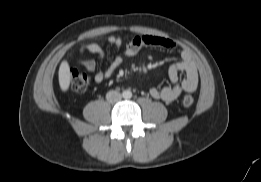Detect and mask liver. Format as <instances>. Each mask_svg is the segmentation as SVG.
<instances>
[{
  "label": "liver",
  "mask_w": 261,
  "mask_h": 182,
  "mask_svg": "<svg viewBox=\"0 0 261 182\" xmlns=\"http://www.w3.org/2000/svg\"><path fill=\"white\" fill-rule=\"evenodd\" d=\"M59 85L62 91H67L71 81L70 67L66 60L62 61L58 72Z\"/></svg>",
  "instance_id": "liver-1"
}]
</instances>
